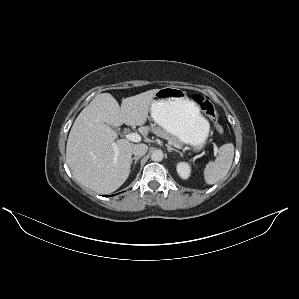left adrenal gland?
I'll use <instances>...</instances> for the list:
<instances>
[{"label":"left adrenal gland","mask_w":299,"mask_h":299,"mask_svg":"<svg viewBox=\"0 0 299 299\" xmlns=\"http://www.w3.org/2000/svg\"><path fill=\"white\" fill-rule=\"evenodd\" d=\"M167 149H168V152L175 151V152L181 154L178 150H176V149H174V148H172V147H170V146H167Z\"/></svg>","instance_id":"a2214340"}]
</instances>
